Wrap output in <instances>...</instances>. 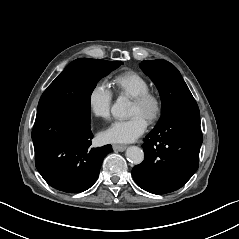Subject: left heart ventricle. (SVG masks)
<instances>
[{"mask_svg": "<svg viewBox=\"0 0 239 239\" xmlns=\"http://www.w3.org/2000/svg\"><path fill=\"white\" fill-rule=\"evenodd\" d=\"M134 114H140L148 120V110L132 101L130 107V115Z\"/></svg>", "mask_w": 239, "mask_h": 239, "instance_id": "obj_1", "label": "left heart ventricle"}]
</instances>
